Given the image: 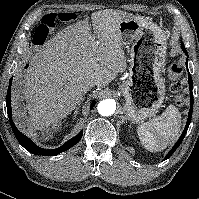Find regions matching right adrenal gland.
<instances>
[{
  "label": "right adrenal gland",
  "mask_w": 199,
  "mask_h": 199,
  "mask_svg": "<svg viewBox=\"0 0 199 199\" xmlns=\"http://www.w3.org/2000/svg\"><path fill=\"white\" fill-rule=\"evenodd\" d=\"M79 107H80V103H79V106L76 108V110H75V115L78 113V109H79Z\"/></svg>",
  "instance_id": "2a0ac1e0"
}]
</instances>
